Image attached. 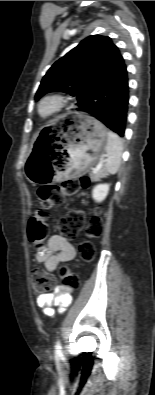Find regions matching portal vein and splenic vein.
I'll list each match as a JSON object with an SVG mask.
<instances>
[{
	"mask_svg": "<svg viewBox=\"0 0 155 395\" xmlns=\"http://www.w3.org/2000/svg\"><path fill=\"white\" fill-rule=\"evenodd\" d=\"M108 158H102L100 162L97 164L96 168L93 169L94 172H97L102 166L107 162Z\"/></svg>",
	"mask_w": 155,
	"mask_h": 395,
	"instance_id": "18ae733b",
	"label": "portal vein and splenic vein"
}]
</instances>
